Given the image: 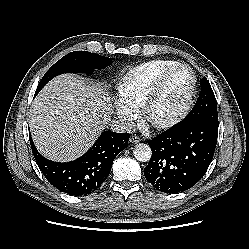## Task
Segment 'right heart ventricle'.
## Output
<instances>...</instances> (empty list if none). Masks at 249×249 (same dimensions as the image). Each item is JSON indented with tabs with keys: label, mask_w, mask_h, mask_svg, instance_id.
Segmentation results:
<instances>
[{
	"label": "right heart ventricle",
	"mask_w": 249,
	"mask_h": 249,
	"mask_svg": "<svg viewBox=\"0 0 249 249\" xmlns=\"http://www.w3.org/2000/svg\"><path fill=\"white\" fill-rule=\"evenodd\" d=\"M177 64L174 60L156 59L129 69L117 83L120 102L138 110L161 74Z\"/></svg>",
	"instance_id": "1"
}]
</instances>
